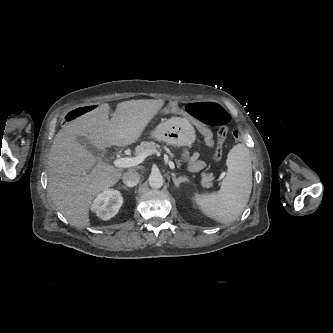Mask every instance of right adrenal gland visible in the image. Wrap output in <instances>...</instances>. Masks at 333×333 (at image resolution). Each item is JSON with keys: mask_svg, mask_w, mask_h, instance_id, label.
Listing matches in <instances>:
<instances>
[{"mask_svg": "<svg viewBox=\"0 0 333 333\" xmlns=\"http://www.w3.org/2000/svg\"><path fill=\"white\" fill-rule=\"evenodd\" d=\"M122 188H123L124 190H128V188H127L126 186H122Z\"/></svg>", "mask_w": 333, "mask_h": 333, "instance_id": "right-adrenal-gland-1", "label": "right adrenal gland"}]
</instances>
